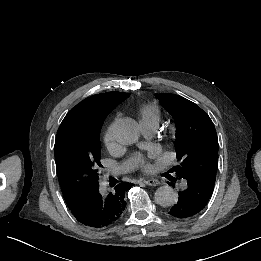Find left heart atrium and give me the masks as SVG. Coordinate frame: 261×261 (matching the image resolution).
<instances>
[{"label":"left heart atrium","mask_w":261,"mask_h":261,"mask_svg":"<svg viewBox=\"0 0 261 261\" xmlns=\"http://www.w3.org/2000/svg\"><path fill=\"white\" fill-rule=\"evenodd\" d=\"M156 158V154H149L145 157L137 158L135 160V165L146 172H153L154 170H156L157 165L153 163L152 160Z\"/></svg>","instance_id":"obj_1"}]
</instances>
